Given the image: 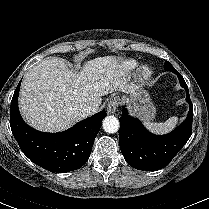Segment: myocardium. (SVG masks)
I'll return each instance as SVG.
<instances>
[{
  "mask_svg": "<svg viewBox=\"0 0 209 209\" xmlns=\"http://www.w3.org/2000/svg\"><path fill=\"white\" fill-rule=\"evenodd\" d=\"M152 75H153V70L148 65H143L139 69L138 77L141 81H148L149 79H151Z\"/></svg>",
  "mask_w": 209,
  "mask_h": 209,
  "instance_id": "f54148a6",
  "label": "myocardium"
}]
</instances>
